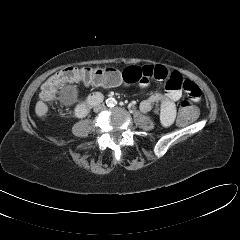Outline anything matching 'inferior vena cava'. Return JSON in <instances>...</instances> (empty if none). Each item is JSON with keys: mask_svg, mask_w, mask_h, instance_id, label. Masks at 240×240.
Masks as SVG:
<instances>
[{"mask_svg": "<svg viewBox=\"0 0 240 240\" xmlns=\"http://www.w3.org/2000/svg\"><path fill=\"white\" fill-rule=\"evenodd\" d=\"M98 107H95L94 110L97 111Z\"/></svg>", "mask_w": 240, "mask_h": 240, "instance_id": "inferior-vena-cava-1", "label": "inferior vena cava"}]
</instances>
